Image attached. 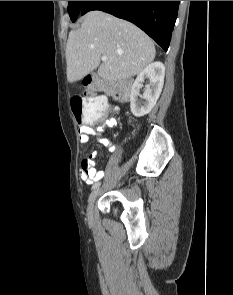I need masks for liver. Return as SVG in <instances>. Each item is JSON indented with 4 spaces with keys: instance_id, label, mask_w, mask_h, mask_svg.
<instances>
[{
    "instance_id": "1",
    "label": "liver",
    "mask_w": 233,
    "mask_h": 295,
    "mask_svg": "<svg viewBox=\"0 0 233 295\" xmlns=\"http://www.w3.org/2000/svg\"><path fill=\"white\" fill-rule=\"evenodd\" d=\"M152 40L134 24L94 10L72 30L66 45L67 80L84 78L98 68L106 81H119L139 74L155 58ZM108 59L101 64V56Z\"/></svg>"
}]
</instances>
